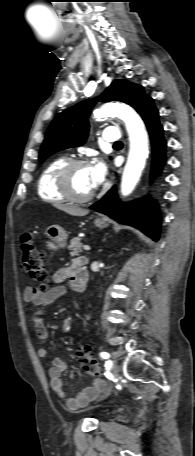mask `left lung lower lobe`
Instances as JSON below:
<instances>
[{"label": "left lung lower lobe", "instance_id": "1", "mask_svg": "<svg viewBox=\"0 0 195 456\" xmlns=\"http://www.w3.org/2000/svg\"><path fill=\"white\" fill-rule=\"evenodd\" d=\"M137 112L144 120L152 143V173L157 174L165 162L166 142L163 138V128L158 118L159 113L153 99L148 98ZM91 209L109 215L119 223L139 228L154 240H158L160 216L157 204L150 199L121 203L115 188L111 189L100 201L93 204Z\"/></svg>", "mask_w": 195, "mask_h": 456}]
</instances>
